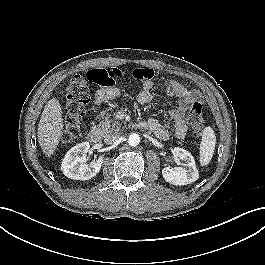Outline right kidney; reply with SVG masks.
I'll return each mask as SVG.
<instances>
[{
  "mask_svg": "<svg viewBox=\"0 0 265 265\" xmlns=\"http://www.w3.org/2000/svg\"><path fill=\"white\" fill-rule=\"evenodd\" d=\"M89 149V142H82L66 153L61 164V170L66 177L74 180H89L99 173L102 158L92 161L89 165L85 164Z\"/></svg>",
  "mask_w": 265,
  "mask_h": 265,
  "instance_id": "1",
  "label": "right kidney"
}]
</instances>
